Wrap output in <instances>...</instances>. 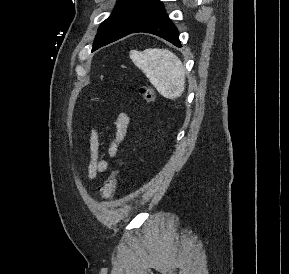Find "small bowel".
I'll return each instance as SVG.
<instances>
[{
  "instance_id": "c3829d8e",
  "label": "small bowel",
  "mask_w": 289,
  "mask_h": 274,
  "mask_svg": "<svg viewBox=\"0 0 289 274\" xmlns=\"http://www.w3.org/2000/svg\"><path fill=\"white\" fill-rule=\"evenodd\" d=\"M130 125V117L125 112H120L114 122L113 137L109 143L107 153L114 158L123 143ZM87 177L94 180L98 173L106 172L108 163L100 153V139L98 131L92 128L89 134V157L85 161Z\"/></svg>"
}]
</instances>
